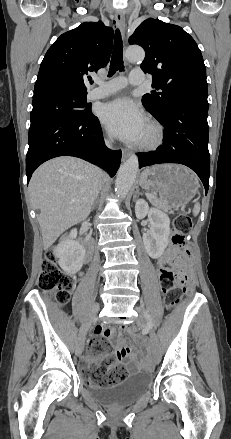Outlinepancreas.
<instances>
[{
    "label": "pancreas",
    "instance_id": "cf45deb5",
    "mask_svg": "<svg viewBox=\"0 0 231 439\" xmlns=\"http://www.w3.org/2000/svg\"><path fill=\"white\" fill-rule=\"evenodd\" d=\"M149 200H150V202H151L153 205H155V206H157V207H159V208L164 209V207H163L161 201H160L159 198H157L156 196H155V198H153V199H149ZM165 210H166V211H169L170 209H165Z\"/></svg>",
    "mask_w": 231,
    "mask_h": 439
}]
</instances>
